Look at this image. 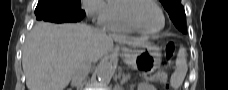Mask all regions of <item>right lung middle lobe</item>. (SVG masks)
<instances>
[{"label":"right lung middle lobe","instance_id":"1","mask_svg":"<svg viewBox=\"0 0 228 90\" xmlns=\"http://www.w3.org/2000/svg\"><path fill=\"white\" fill-rule=\"evenodd\" d=\"M48 0H39L38 5H43ZM55 6L65 10L69 15H77L81 11V0H55Z\"/></svg>","mask_w":228,"mask_h":90}]
</instances>
